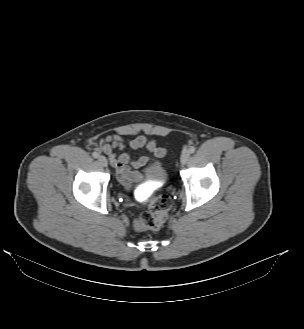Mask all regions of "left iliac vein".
Listing matches in <instances>:
<instances>
[{
  "mask_svg": "<svg viewBox=\"0 0 304 329\" xmlns=\"http://www.w3.org/2000/svg\"><path fill=\"white\" fill-rule=\"evenodd\" d=\"M189 158H190V152L183 151L181 158H180L181 164H183V165L186 164L188 162Z\"/></svg>",
  "mask_w": 304,
  "mask_h": 329,
  "instance_id": "4c4485c4",
  "label": "left iliac vein"
}]
</instances>
